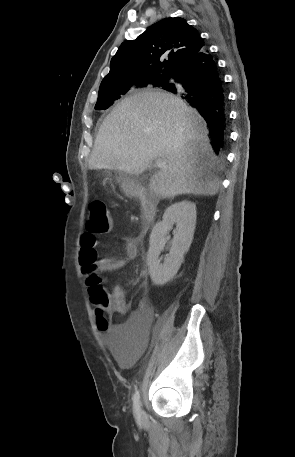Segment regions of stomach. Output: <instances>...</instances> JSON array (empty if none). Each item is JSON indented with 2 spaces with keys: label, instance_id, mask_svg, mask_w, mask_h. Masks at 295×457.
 <instances>
[{
  "label": "stomach",
  "instance_id": "0dacf381",
  "mask_svg": "<svg viewBox=\"0 0 295 457\" xmlns=\"http://www.w3.org/2000/svg\"><path fill=\"white\" fill-rule=\"evenodd\" d=\"M119 175H121L120 179V185L123 191L125 192H131L133 190V184L129 182L124 176L122 172H119Z\"/></svg>",
  "mask_w": 295,
  "mask_h": 457
}]
</instances>
